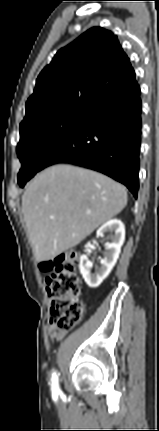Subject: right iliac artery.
I'll return each mask as SVG.
<instances>
[{"mask_svg": "<svg viewBox=\"0 0 159 431\" xmlns=\"http://www.w3.org/2000/svg\"><path fill=\"white\" fill-rule=\"evenodd\" d=\"M52 392L53 393L59 392L58 377L56 373L52 374Z\"/></svg>", "mask_w": 159, "mask_h": 431, "instance_id": "82829eb1", "label": "right iliac artery"}]
</instances>
